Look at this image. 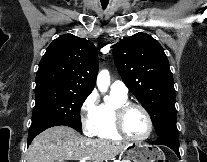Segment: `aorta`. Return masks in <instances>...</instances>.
<instances>
[{"label":"aorta","instance_id":"obj_1","mask_svg":"<svg viewBox=\"0 0 207 162\" xmlns=\"http://www.w3.org/2000/svg\"><path fill=\"white\" fill-rule=\"evenodd\" d=\"M97 86L100 92L105 93L110 85V74L108 70H102L97 76ZM108 97H104V101H107Z\"/></svg>","mask_w":207,"mask_h":162}]
</instances>
